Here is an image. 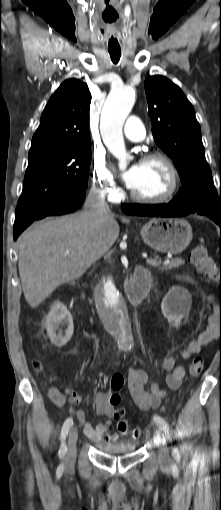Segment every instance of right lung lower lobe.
<instances>
[{"label": "right lung lower lobe", "instance_id": "1", "mask_svg": "<svg viewBox=\"0 0 221 510\" xmlns=\"http://www.w3.org/2000/svg\"><path fill=\"white\" fill-rule=\"evenodd\" d=\"M86 196V191L83 190L71 197L65 198L57 203L51 205L50 207L43 209L37 214H34L31 217H23L19 216L15 213V223L13 229V238L16 240L21 232L29 226L34 220L42 219L46 216L51 215H62L66 213H71L80 208L82 203L84 202Z\"/></svg>", "mask_w": 221, "mask_h": 510}]
</instances>
